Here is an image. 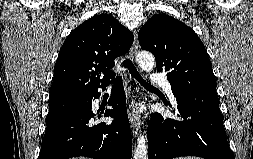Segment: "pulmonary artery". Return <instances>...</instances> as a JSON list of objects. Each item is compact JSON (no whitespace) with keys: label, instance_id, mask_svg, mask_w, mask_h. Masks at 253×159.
<instances>
[{"label":"pulmonary artery","instance_id":"obj_1","mask_svg":"<svg viewBox=\"0 0 253 159\" xmlns=\"http://www.w3.org/2000/svg\"><path fill=\"white\" fill-rule=\"evenodd\" d=\"M151 82L154 84H157L163 88V90L169 95L172 102L176 104V99L173 96L172 92V84L171 82L166 78L164 73L154 72L151 75Z\"/></svg>","mask_w":253,"mask_h":159}]
</instances>
